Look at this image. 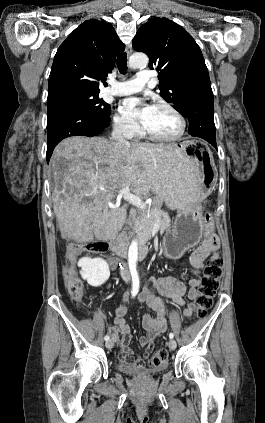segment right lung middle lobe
Segmentation results:
<instances>
[{
    "label": "right lung middle lobe",
    "instance_id": "obj_1",
    "mask_svg": "<svg viewBox=\"0 0 265 423\" xmlns=\"http://www.w3.org/2000/svg\"><path fill=\"white\" fill-rule=\"evenodd\" d=\"M99 92L85 90H71L62 92L47 98V106L59 102H71L79 104L91 113L110 120V105L98 98Z\"/></svg>",
    "mask_w": 265,
    "mask_h": 423
}]
</instances>
